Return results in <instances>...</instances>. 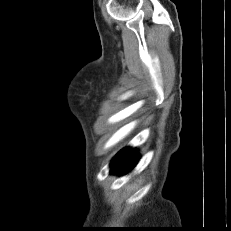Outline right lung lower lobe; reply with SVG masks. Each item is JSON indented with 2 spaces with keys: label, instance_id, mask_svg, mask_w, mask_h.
Wrapping results in <instances>:
<instances>
[{
  "label": "right lung lower lobe",
  "instance_id": "obj_1",
  "mask_svg": "<svg viewBox=\"0 0 231 231\" xmlns=\"http://www.w3.org/2000/svg\"><path fill=\"white\" fill-rule=\"evenodd\" d=\"M137 161L135 149H122L112 160L111 173L123 175L130 171Z\"/></svg>",
  "mask_w": 231,
  "mask_h": 231
}]
</instances>
